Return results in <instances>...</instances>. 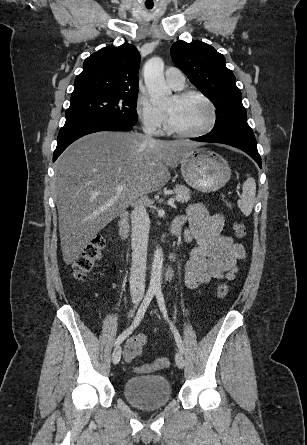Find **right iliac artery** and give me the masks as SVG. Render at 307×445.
<instances>
[{
    "mask_svg": "<svg viewBox=\"0 0 307 445\" xmlns=\"http://www.w3.org/2000/svg\"><path fill=\"white\" fill-rule=\"evenodd\" d=\"M155 291L154 290H148L138 311L134 318V321L132 325L125 330L123 333H121L118 338L115 341V346H118L122 341L139 325L140 321L142 320L152 298L154 297Z\"/></svg>",
    "mask_w": 307,
    "mask_h": 445,
    "instance_id": "obj_1",
    "label": "right iliac artery"
}]
</instances>
